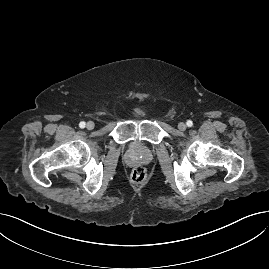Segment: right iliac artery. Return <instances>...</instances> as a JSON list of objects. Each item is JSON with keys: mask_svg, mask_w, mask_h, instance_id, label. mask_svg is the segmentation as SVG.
Segmentation results:
<instances>
[{"mask_svg": "<svg viewBox=\"0 0 269 269\" xmlns=\"http://www.w3.org/2000/svg\"><path fill=\"white\" fill-rule=\"evenodd\" d=\"M85 125H86V123H85L84 121H82V122L79 123V127H80V128H84Z\"/></svg>", "mask_w": 269, "mask_h": 269, "instance_id": "right-iliac-artery-1", "label": "right iliac artery"}]
</instances>
